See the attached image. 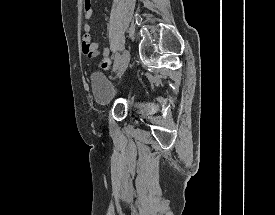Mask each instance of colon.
<instances>
[{
	"label": "colon",
	"instance_id": "5ec220e1",
	"mask_svg": "<svg viewBox=\"0 0 275 215\" xmlns=\"http://www.w3.org/2000/svg\"><path fill=\"white\" fill-rule=\"evenodd\" d=\"M89 1V0H88ZM111 61L109 59H102L100 61V66L104 69H108L111 66Z\"/></svg>",
	"mask_w": 275,
	"mask_h": 215
}]
</instances>
